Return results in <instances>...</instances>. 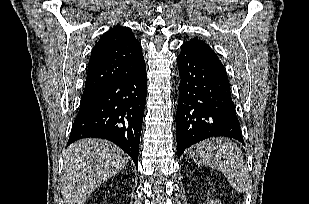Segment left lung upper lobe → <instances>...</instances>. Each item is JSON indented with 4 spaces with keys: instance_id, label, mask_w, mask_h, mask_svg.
<instances>
[{
    "instance_id": "5c2ea615",
    "label": "left lung upper lobe",
    "mask_w": 309,
    "mask_h": 204,
    "mask_svg": "<svg viewBox=\"0 0 309 204\" xmlns=\"http://www.w3.org/2000/svg\"><path fill=\"white\" fill-rule=\"evenodd\" d=\"M182 46H186L192 51L202 55L205 59L214 62L220 66H223L215 52L210 48L205 42L198 40L197 38H192Z\"/></svg>"
}]
</instances>
